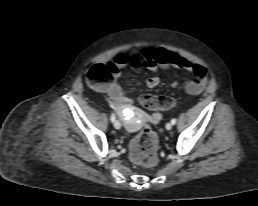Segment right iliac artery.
I'll return each instance as SVG.
<instances>
[{
  "instance_id": "1",
  "label": "right iliac artery",
  "mask_w": 258,
  "mask_h": 206,
  "mask_svg": "<svg viewBox=\"0 0 258 206\" xmlns=\"http://www.w3.org/2000/svg\"><path fill=\"white\" fill-rule=\"evenodd\" d=\"M110 119H111V122H115L116 118H115V114L114 113L111 114V118Z\"/></svg>"
}]
</instances>
